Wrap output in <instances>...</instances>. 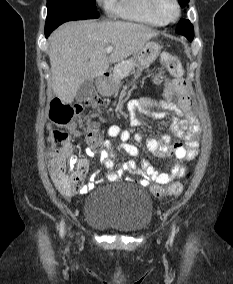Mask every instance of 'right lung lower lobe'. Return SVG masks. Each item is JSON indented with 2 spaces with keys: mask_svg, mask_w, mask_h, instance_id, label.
<instances>
[{
  "mask_svg": "<svg viewBox=\"0 0 233 284\" xmlns=\"http://www.w3.org/2000/svg\"><path fill=\"white\" fill-rule=\"evenodd\" d=\"M53 30H45V36L48 37Z\"/></svg>",
  "mask_w": 233,
  "mask_h": 284,
  "instance_id": "right-lung-lower-lobe-1",
  "label": "right lung lower lobe"
}]
</instances>
